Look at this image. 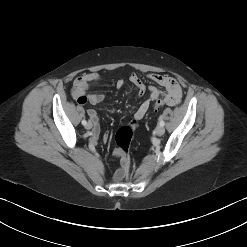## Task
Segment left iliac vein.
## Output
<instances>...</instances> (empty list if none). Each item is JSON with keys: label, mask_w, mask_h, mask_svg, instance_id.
I'll use <instances>...</instances> for the list:
<instances>
[{"label": "left iliac vein", "mask_w": 247, "mask_h": 247, "mask_svg": "<svg viewBox=\"0 0 247 247\" xmlns=\"http://www.w3.org/2000/svg\"><path fill=\"white\" fill-rule=\"evenodd\" d=\"M156 135L162 136L165 133V128L163 126H158L155 130Z\"/></svg>", "instance_id": "obj_1"}]
</instances>
